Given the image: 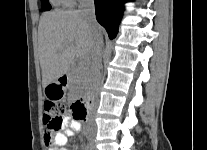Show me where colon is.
Segmentation results:
<instances>
[{
	"label": "colon",
	"instance_id": "colon-1",
	"mask_svg": "<svg viewBox=\"0 0 207 150\" xmlns=\"http://www.w3.org/2000/svg\"><path fill=\"white\" fill-rule=\"evenodd\" d=\"M73 116L80 118V113L73 106ZM67 107L64 103L48 100L44 104L43 123L46 133H43V138H50V134L60 131L66 121Z\"/></svg>",
	"mask_w": 207,
	"mask_h": 150
}]
</instances>
